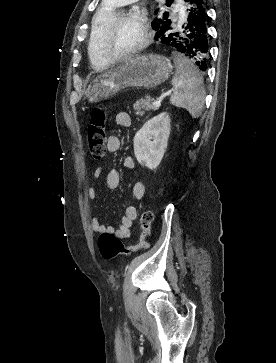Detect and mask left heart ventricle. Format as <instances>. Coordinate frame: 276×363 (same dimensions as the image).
<instances>
[{
  "mask_svg": "<svg viewBox=\"0 0 276 363\" xmlns=\"http://www.w3.org/2000/svg\"><path fill=\"white\" fill-rule=\"evenodd\" d=\"M141 37V26L135 21L125 20L106 35L104 43L112 55H119L136 46Z\"/></svg>",
  "mask_w": 276,
  "mask_h": 363,
  "instance_id": "b2bd125f",
  "label": "left heart ventricle"
}]
</instances>
